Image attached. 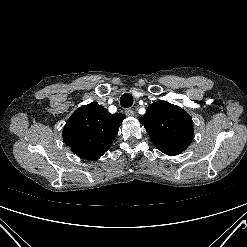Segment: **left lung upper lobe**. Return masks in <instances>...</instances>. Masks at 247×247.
<instances>
[{
  "label": "left lung upper lobe",
  "mask_w": 247,
  "mask_h": 247,
  "mask_svg": "<svg viewBox=\"0 0 247 247\" xmlns=\"http://www.w3.org/2000/svg\"><path fill=\"white\" fill-rule=\"evenodd\" d=\"M140 123L146 128L153 144L163 153L180 154L192 142L193 121L182 108L166 101H158L146 110Z\"/></svg>",
  "instance_id": "obj_1"
}]
</instances>
